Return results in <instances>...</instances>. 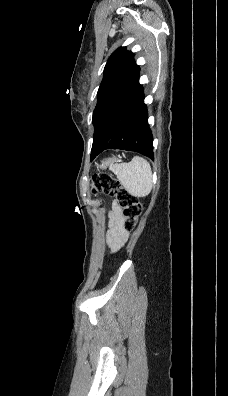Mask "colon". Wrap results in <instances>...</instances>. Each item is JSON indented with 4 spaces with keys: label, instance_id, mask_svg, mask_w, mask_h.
<instances>
[{
    "label": "colon",
    "instance_id": "colon-1",
    "mask_svg": "<svg viewBox=\"0 0 228 396\" xmlns=\"http://www.w3.org/2000/svg\"><path fill=\"white\" fill-rule=\"evenodd\" d=\"M90 184L94 194H106L117 199L121 208L124 228L126 231H132L137 226L142 212L139 199L124 189L117 179L107 173L93 175Z\"/></svg>",
    "mask_w": 228,
    "mask_h": 396
}]
</instances>
